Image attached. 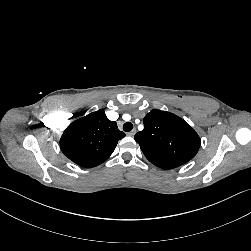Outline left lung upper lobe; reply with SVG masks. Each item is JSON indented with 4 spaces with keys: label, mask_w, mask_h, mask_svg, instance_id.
<instances>
[{
    "label": "left lung upper lobe",
    "mask_w": 251,
    "mask_h": 251,
    "mask_svg": "<svg viewBox=\"0 0 251 251\" xmlns=\"http://www.w3.org/2000/svg\"><path fill=\"white\" fill-rule=\"evenodd\" d=\"M143 122L144 129L136 133L134 139L155 166L173 169L188 162L198 152V134L179 116L153 109Z\"/></svg>",
    "instance_id": "left-lung-upper-lobe-1"
}]
</instances>
